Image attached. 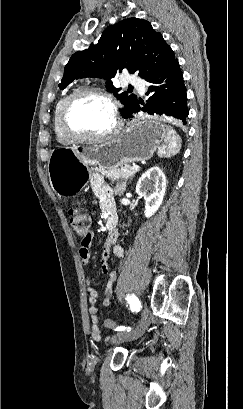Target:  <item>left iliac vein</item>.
Wrapping results in <instances>:
<instances>
[{"label":"left iliac vein","mask_w":243,"mask_h":409,"mask_svg":"<svg viewBox=\"0 0 243 409\" xmlns=\"http://www.w3.org/2000/svg\"><path fill=\"white\" fill-rule=\"evenodd\" d=\"M150 324V311L147 307L142 312L140 324L132 331L120 332L112 337V343L117 344L126 341H132L141 337Z\"/></svg>","instance_id":"left-iliac-vein-1"}]
</instances>
